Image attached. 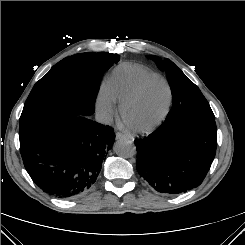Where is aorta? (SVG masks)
<instances>
[{
	"instance_id": "obj_1",
	"label": "aorta",
	"mask_w": 245,
	"mask_h": 245,
	"mask_svg": "<svg viewBox=\"0 0 245 245\" xmlns=\"http://www.w3.org/2000/svg\"><path fill=\"white\" fill-rule=\"evenodd\" d=\"M114 152L123 158H131L136 154V148L132 141L121 138L115 142Z\"/></svg>"
}]
</instances>
